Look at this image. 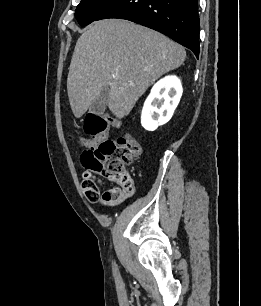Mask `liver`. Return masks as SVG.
I'll return each mask as SVG.
<instances>
[{
    "label": "liver",
    "mask_w": 261,
    "mask_h": 306,
    "mask_svg": "<svg viewBox=\"0 0 261 306\" xmlns=\"http://www.w3.org/2000/svg\"><path fill=\"white\" fill-rule=\"evenodd\" d=\"M185 58L181 45L157 31L123 19L96 21L79 37L72 55L67 78L72 112L82 117L108 87L109 110L121 119L150 85Z\"/></svg>",
    "instance_id": "1"
}]
</instances>
